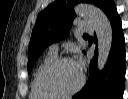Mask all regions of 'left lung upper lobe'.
Here are the masks:
<instances>
[{"label":"left lung upper lobe","instance_id":"1","mask_svg":"<svg viewBox=\"0 0 128 99\" xmlns=\"http://www.w3.org/2000/svg\"><path fill=\"white\" fill-rule=\"evenodd\" d=\"M80 2L101 8L104 0H55L39 14L29 43L28 73L49 44L68 35L75 17L73 7Z\"/></svg>","mask_w":128,"mask_h":99}]
</instances>
